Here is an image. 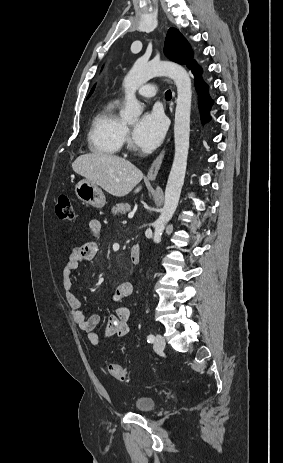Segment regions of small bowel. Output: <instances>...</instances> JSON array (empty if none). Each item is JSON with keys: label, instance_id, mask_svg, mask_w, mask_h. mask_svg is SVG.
Instances as JSON below:
<instances>
[{"label": "small bowel", "instance_id": "small-bowel-1", "mask_svg": "<svg viewBox=\"0 0 283 463\" xmlns=\"http://www.w3.org/2000/svg\"><path fill=\"white\" fill-rule=\"evenodd\" d=\"M89 230L93 236L97 237L101 232V222L98 219H91L89 221ZM97 251L98 244L95 241H89L80 247L71 248L62 269L63 290L72 317L79 328L86 333L90 343L93 345H97L101 339L126 336L129 333L131 316L129 308L118 305L114 313L108 317L102 335H99L96 332V328L100 324V316L92 314L87 317L83 312L82 303L73 291L72 273L80 264L91 263ZM132 293L133 284L131 282H123L114 291L112 301L119 304L122 300L131 296Z\"/></svg>", "mask_w": 283, "mask_h": 463}]
</instances>
